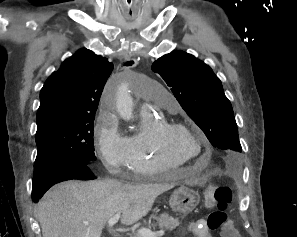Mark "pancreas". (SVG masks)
<instances>
[{"mask_svg":"<svg viewBox=\"0 0 297 237\" xmlns=\"http://www.w3.org/2000/svg\"><path fill=\"white\" fill-rule=\"evenodd\" d=\"M157 225L159 228L172 231L180 225L178 218H173L168 214L164 213L157 219ZM155 226V225H153ZM131 237H141L139 234H133Z\"/></svg>","mask_w":297,"mask_h":237,"instance_id":"1","label":"pancreas"}]
</instances>
